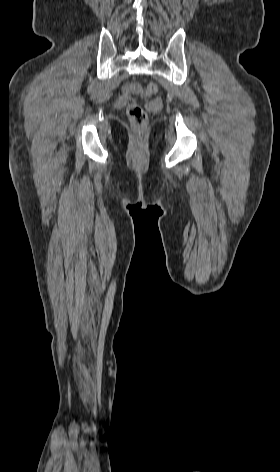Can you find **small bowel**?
Segmentation results:
<instances>
[{
    "label": "small bowel",
    "instance_id": "obj_1",
    "mask_svg": "<svg viewBox=\"0 0 280 472\" xmlns=\"http://www.w3.org/2000/svg\"><path fill=\"white\" fill-rule=\"evenodd\" d=\"M131 89H132L131 86H127L126 89H125V91H126V92H129Z\"/></svg>",
    "mask_w": 280,
    "mask_h": 472
}]
</instances>
